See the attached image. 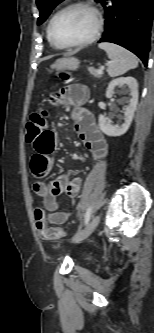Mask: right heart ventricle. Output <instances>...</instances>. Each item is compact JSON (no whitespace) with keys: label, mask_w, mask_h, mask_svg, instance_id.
I'll return each mask as SVG.
<instances>
[{"label":"right heart ventricle","mask_w":154,"mask_h":333,"mask_svg":"<svg viewBox=\"0 0 154 333\" xmlns=\"http://www.w3.org/2000/svg\"><path fill=\"white\" fill-rule=\"evenodd\" d=\"M47 37H48L49 42L54 46V44L51 42L50 37L48 35V29H47Z\"/></svg>","instance_id":"e07e8e85"}]
</instances>
